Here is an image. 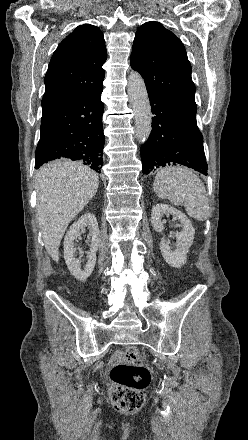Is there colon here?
<instances>
[{"label": "colon", "instance_id": "5ec220e1", "mask_svg": "<svg viewBox=\"0 0 248 440\" xmlns=\"http://www.w3.org/2000/svg\"><path fill=\"white\" fill-rule=\"evenodd\" d=\"M110 379V396L117 411L133 413L142 408L144 390L150 383L151 374L141 361L138 348L132 346L126 349L124 362L113 366Z\"/></svg>", "mask_w": 248, "mask_h": 440}]
</instances>
